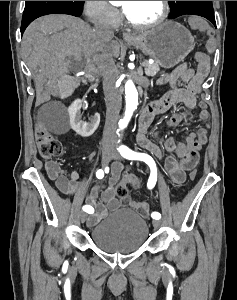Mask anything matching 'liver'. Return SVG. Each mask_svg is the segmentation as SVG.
<instances>
[{"instance_id":"1","label":"liver","mask_w":237,"mask_h":300,"mask_svg":"<svg viewBox=\"0 0 237 300\" xmlns=\"http://www.w3.org/2000/svg\"><path fill=\"white\" fill-rule=\"evenodd\" d=\"M22 53L34 75L37 101H41L43 91L52 95L56 91L57 79L76 71H90L94 63L101 71L106 57L111 53L119 57L120 45L117 41L102 43L88 23L71 15H46L33 21L27 27L22 39ZM80 61H85L81 63ZM76 85H79L76 81Z\"/></svg>"}]
</instances>
